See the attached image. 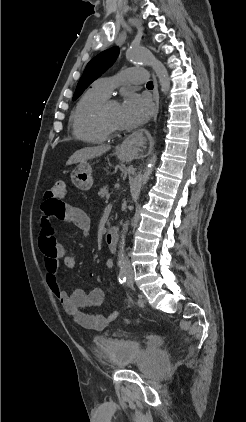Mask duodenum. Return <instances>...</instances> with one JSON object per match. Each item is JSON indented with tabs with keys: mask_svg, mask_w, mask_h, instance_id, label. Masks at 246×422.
I'll list each match as a JSON object with an SVG mask.
<instances>
[{
	"mask_svg": "<svg viewBox=\"0 0 246 422\" xmlns=\"http://www.w3.org/2000/svg\"><path fill=\"white\" fill-rule=\"evenodd\" d=\"M106 244L111 252H117L118 249V230L110 228L105 236Z\"/></svg>",
	"mask_w": 246,
	"mask_h": 422,
	"instance_id": "obj_1",
	"label": "duodenum"
}]
</instances>
